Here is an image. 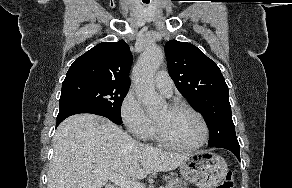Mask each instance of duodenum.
<instances>
[{
  "label": "duodenum",
  "mask_w": 292,
  "mask_h": 188,
  "mask_svg": "<svg viewBox=\"0 0 292 188\" xmlns=\"http://www.w3.org/2000/svg\"><path fill=\"white\" fill-rule=\"evenodd\" d=\"M105 188H112L111 186H106Z\"/></svg>",
  "instance_id": "410a0bca"
}]
</instances>
